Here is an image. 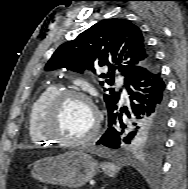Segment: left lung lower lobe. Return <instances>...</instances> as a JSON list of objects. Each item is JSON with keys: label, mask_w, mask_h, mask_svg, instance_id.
I'll return each instance as SVG.
<instances>
[{"label": "left lung lower lobe", "mask_w": 188, "mask_h": 189, "mask_svg": "<svg viewBox=\"0 0 188 189\" xmlns=\"http://www.w3.org/2000/svg\"><path fill=\"white\" fill-rule=\"evenodd\" d=\"M130 106L118 105L108 114L109 128L96 143L112 149H124L131 140L133 129L142 125H166L168 99L166 85L156 60L136 69L125 82ZM129 119L123 122V116Z\"/></svg>", "instance_id": "obj_1"}]
</instances>
